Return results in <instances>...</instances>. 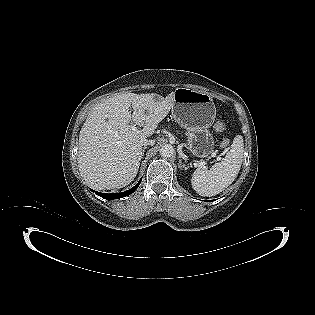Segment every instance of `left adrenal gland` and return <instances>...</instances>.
<instances>
[{"label":"left adrenal gland","instance_id":"1","mask_svg":"<svg viewBox=\"0 0 315 315\" xmlns=\"http://www.w3.org/2000/svg\"><path fill=\"white\" fill-rule=\"evenodd\" d=\"M178 167L179 168H184L185 170L187 169L186 167H185V165H182V159H181V156L179 155V164H178Z\"/></svg>","mask_w":315,"mask_h":315}]
</instances>
